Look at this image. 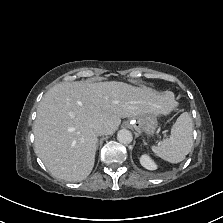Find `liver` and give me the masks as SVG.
<instances>
[{"mask_svg":"<svg viewBox=\"0 0 223 223\" xmlns=\"http://www.w3.org/2000/svg\"><path fill=\"white\" fill-rule=\"evenodd\" d=\"M177 102L174 93L122 82H63L53 86L37 108L34 150L52 176L70 182L92 171L97 148L94 126L113 134L121 118L143 114L168 115Z\"/></svg>","mask_w":223,"mask_h":223,"instance_id":"obj_1","label":"liver"}]
</instances>
